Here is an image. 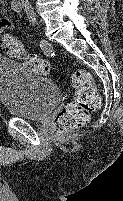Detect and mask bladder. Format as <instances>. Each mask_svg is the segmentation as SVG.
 Masks as SVG:
<instances>
[{
  "instance_id": "obj_1",
  "label": "bladder",
  "mask_w": 123,
  "mask_h": 201,
  "mask_svg": "<svg viewBox=\"0 0 123 201\" xmlns=\"http://www.w3.org/2000/svg\"><path fill=\"white\" fill-rule=\"evenodd\" d=\"M59 99L54 81L29 73L18 60L0 56V104L11 115L40 121L54 110Z\"/></svg>"
}]
</instances>
